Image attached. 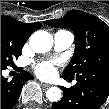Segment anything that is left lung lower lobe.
<instances>
[{
    "label": "left lung lower lobe",
    "mask_w": 109,
    "mask_h": 109,
    "mask_svg": "<svg viewBox=\"0 0 109 109\" xmlns=\"http://www.w3.org/2000/svg\"><path fill=\"white\" fill-rule=\"evenodd\" d=\"M76 81L70 89L62 87L64 96L53 109H99L109 96V69H88Z\"/></svg>",
    "instance_id": "1"
}]
</instances>
